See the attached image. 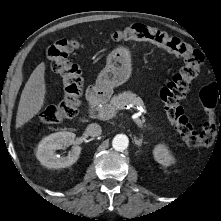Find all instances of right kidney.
<instances>
[{"label": "right kidney", "instance_id": "obj_1", "mask_svg": "<svg viewBox=\"0 0 221 221\" xmlns=\"http://www.w3.org/2000/svg\"><path fill=\"white\" fill-rule=\"evenodd\" d=\"M74 138V133L66 131L53 133L45 137L38 145L37 159L47 168L58 169L73 165L80 156L82 149L80 146L74 145L66 157L57 155L55 151L71 145Z\"/></svg>", "mask_w": 221, "mask_h": 221}]
</instances>
